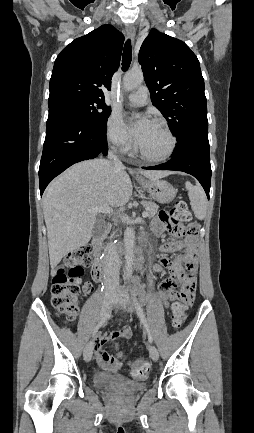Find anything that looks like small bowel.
Returning a JSON list of instances; mask_svg holds the SVG:
<instances>
[{"mask_svg":"<svg viewBox=\"0 0 254 433\" xmlns=\"http://www.w3.org/2000/svg\"><path fill=\"white\" fill-rule=\"evenodd\" d=\"M168 230L174 236L180 239L168 242L161 247L165 254L160 263L151 266V273L154 275L161 274L168 269L171 273L170 278L162 281L158 285V296L169 305L174 300H192L196 288L198 264L195 256V241L192 236H183L180 229L164 224L159 218L153 221V231L160 234ZM184 249L185 252L176 259L171 260L167 254ZM186 267V272L184 270ZM180 286V291L176 292L175 288ZM133 335L130 328H123L120 331H108L98 336L95 342L96 360L99 366L107 373H116L122 366V362L117 357L110 354L105 348V344L117 338L129 339Z\"/></svg>","mask_w":254,"mask_h":433,"instance_id":"obj_1","label":"small bowel"}]
</instances>
